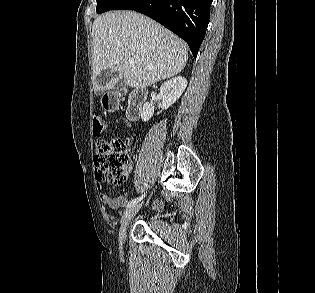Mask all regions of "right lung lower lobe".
I'll return each mask as SVG.
<instances>
[{
    "label": "right lung lower lobe",
    "instance_id": "1",
    "mask_svg": "<svg viewBox=\"0 0 315 293\" xmlns=\"http://www.w3.org/2000/svg\"><path fill=\"white\" fill-rule=\"evenodd\" d=\"M212 0H118L110 10L131 9L149 16L184 39L196 58L205 37Z\"/></svg>",
    "mask_w": 315,
    "mask_h": 293
}]
</instances>
